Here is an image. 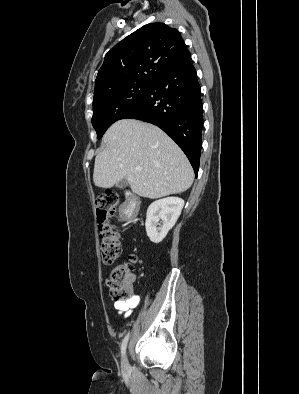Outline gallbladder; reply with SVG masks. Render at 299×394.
Wrapping results in <instances>:
<instances>
[{
    "instance_id": "gallbladder-1",
    "label": "gallbladder",
    "mask_w": 299,
    "mask_h": 394,
    "mask_svg": "<svg viewBox=\"0 0 299 394\" xmlns=\"http://www.w3.org/2000/svg\"><path fill=\"white\" fill-rule=\"evenodd\" d=\"M127 184H128L127 179H126V178H123L122 180H120V181L116 184V187L123 189V188H125V187L127 186Z\"/></svg>"
}]
</instances>
